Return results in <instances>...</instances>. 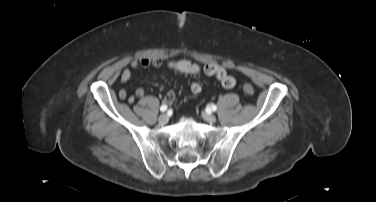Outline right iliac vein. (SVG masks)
Listing matches in <instances>:
<instances>
[{
    "instance_id": "63e3f726",
    "label": "right iliac vein",
    "mask_w": 376,
    "mask_h": 202,
    "mask_svg": "<svg viewBox=\"0 0 376 202\" xmlns=\"http://www.w3.org/2000/svg\"><path fill=\"white\" fill-rule=\"evenodd\" d=\"M159 123L166 124L168 122V116L167 114L163 113L158 118Z\"/></svg>"
}]
</instances>
